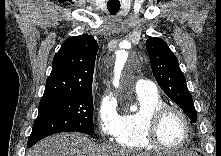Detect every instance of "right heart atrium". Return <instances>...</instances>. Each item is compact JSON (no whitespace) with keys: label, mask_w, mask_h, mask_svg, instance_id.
<instances>
[{"label":"right heart atrium","mask_w":221,"mask_h":156,"mask_svg":"<svg viewBox=\"0 0 221 156\" xmlns=\"http://www.w3.org/2000/svg\"><path fill=\"white\" fill-rule=\"evenodd\" d=\"M96 122L100 135L105 139H113L117 133L119 114L116 100L104 93L96 108Z\"/></svg>","instance_id":"obj_1"}]
</instances>
